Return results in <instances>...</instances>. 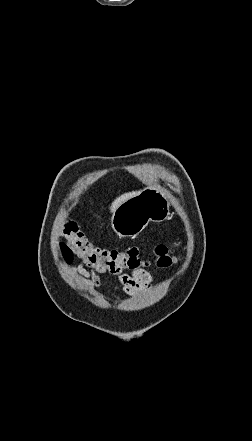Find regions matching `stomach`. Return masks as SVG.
I'll return each mask as SVG.
<instances>
[{
	"instance_id": "1",
	"label": "stomach",
	"mask_w": 252,
	"mask_h": 441,
	"mask_svg": "<svg viewBox=\"0 0 252 441\" xmlns=\"http://www.w3.org/2000/svg\"><path fill=\"white\" fill-rule=\"evenodd\" d=\"M170 214V202L159 189L147 187L120 204L111 225L119 237H136L149 222H162Z\"/></svg>"
}]
</instances>
